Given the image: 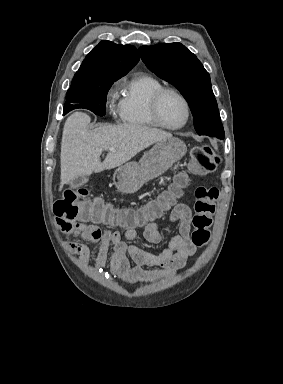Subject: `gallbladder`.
<instances>
[{
  "label": "gallbladder",
  "instance_id": "gallbladder-1",
  "mask_svg": "<svg viewBox=\"0 0 283 384\" xmlns=\"http://www.w3.org/2000/svg\"><path fill=\"white\" fill-rule=\"evenodd\" d=\"M88 182V178H85V176H80V178H75V180H72L70 182V188H74L75 186H83V184H86Z\"/></svg>",
  "mask_w": 283,
  "mask_h": 384
}]
</instances>
